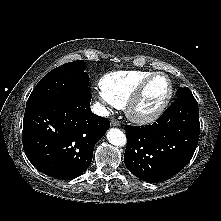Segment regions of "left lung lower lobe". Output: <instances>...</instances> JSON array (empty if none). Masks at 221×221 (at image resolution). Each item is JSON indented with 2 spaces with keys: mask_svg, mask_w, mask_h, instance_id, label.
Returning <instances> with one entry per match:
<instances>
[{
  "mask_svg": "<svg viewBox=\"0 0 221 221\" xmlns=\"http://www.w3.org/2000/svg\"><path fill=\"white\" fill-rule=\"evenodd\" d=\"M127 169L147 182L164 181L192 158L199 139L198 103L194 97L173 102L156 123L125 126Z\"/></svg>",
  "mask_w": 221,
  "mask_h": 221,
  "instance_id": "left-lung-lower-lobe-1",
  "label": "left lung lower lobe"
}]
</instances>
